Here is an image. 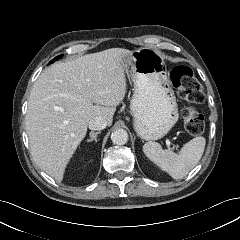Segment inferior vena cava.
Masks as SVG:
<instances>
[{
	"mask_svg": "<svg viewBox=\"0 0 240 240\" xmlns=\"http://www.w3.org/2000/svg\"><path fill=\"white\" fill-rule=\"evenodd\" d=\"M107 126L106 120L101 117L97 116L94 119L90 120L88 127L90 130H102Z\"/></svg>",
	"mask_w": 240,
	"mask_h": 240,
	"instance_id": "602c4592",
	"label": "inferior vena cava"
}]
</instances>
